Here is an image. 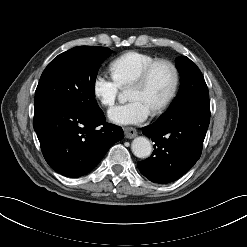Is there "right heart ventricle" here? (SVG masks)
I'll return each mask as SVG.
<instances>
[{"label": "right heart ventricle", "mask_w": 247, "mask_h": 247, "mask_svg": "<svg viewBox=\"0 0 247 247\" xmlns=\"http://www.w3.org/2000/svg\"><path fill=\"white\" fill-rule=\"evenodd\" d=\"M157 58L139 51H128L115 58L109 65L112 79L121 87H128L140 73Z\"/></svg>", "instance_id": "right-heart-ventricle-1"}]
</instances>
